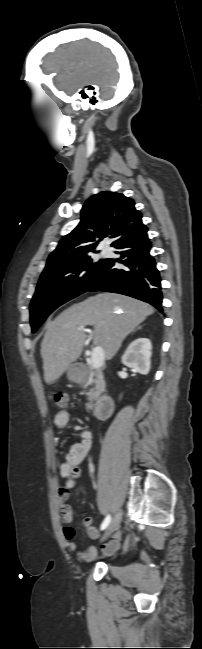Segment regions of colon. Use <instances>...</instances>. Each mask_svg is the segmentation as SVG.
I'll use <instances>...</instances> for the list:
<instances>
[{
    "label": "colon",
    "mask_w": 202,
    "mask_h": 649,
    "mask_svg": "<svg viewBox=\"0 0 202 649\" xmlns=\"http://www.w3.org/2000/svg\"><path fill=\"white\" fill-rule=\"evenodd\" d=\"M53 400L56 406L64 408L67 405V394L64 392H56L53 395Z\"/></svg>",
    "instance_id": "1"
}]
</instances>
